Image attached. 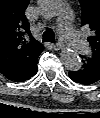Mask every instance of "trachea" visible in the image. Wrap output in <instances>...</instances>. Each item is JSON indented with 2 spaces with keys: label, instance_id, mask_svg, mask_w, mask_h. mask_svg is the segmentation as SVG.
Segmentation results:
<instances>
[{
  "label": "trachea",
  "instance_id": "obj_1",
  "mask_svg": "<svg viewBox=\"0 0 100 118\" xmlns=\"http://www.w3.org/2000/svg\"><path fill=\"white\" fill-rule=\"evenodd\" d=\"M43 42H55L54 32L51 29L46 30L42 36Z\"/></svg>",
  "mask_w": 100,
  "mask_h": 118
}]
</instances>
